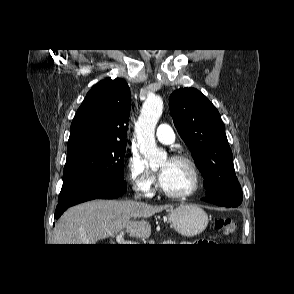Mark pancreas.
<instances>
[{"instance_id":"1","label":"pancreas","mask_w":294,"mask_h":294,"mask_svg":"<svg viewBox=\"0 0 294 294\" xmlns=\"http://www.w3.org/2000/svg\"><path fill=\"white\" fill-rule=\"evenodd\" d=\"M164 244H175V243H172V242H164Z\"/></svg>"}]
</instances>
